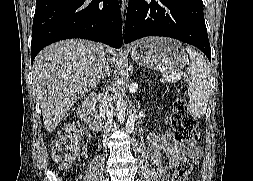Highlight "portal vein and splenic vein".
<instances>
[{
    "instance_id": "1",
    "label": "portal vein and splenic vein",
    "mask_w": 253,
    "mask_h": 181,
    "mask_svg": "<svg viewBox=\"0 0 253 181\" xmlns=\"http://www.w3.org/2000/svg\"><path fill=\"white\" fill-rule=\"evenodd\" d=\"M180 79H181V75L173 74V75H170L169 77H167L166 79H164L163 82L170 83V82L178 81Z\"/></svg>"
}]
</instances>
